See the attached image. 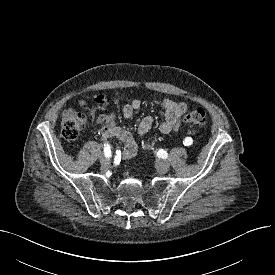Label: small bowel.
I'll return each instance as SVG.
<instances>
[{"instance_id": "obj_1", "label": "small bowel", "mask_w": 275, "mask_h": 275, "mask_svg": "<svg viewBox=\"0 0 275 275\" xmlns=\"http://www.w3.org/2000/svg\"><path fill=\"white\" fill-rule=\"evenodd\" d=\"M89 97H85L80 100V105L85 106ZM141 106L139 99H133L130 103L126 104L122 109V115L125 119L130 118L133 113ZM161 107L164 112V118L161 122L159 129L165 135H172L175 133L180 125L181 119L187 110V105L184 102H176L170 99H164L161 102ZM101 126V137L103 140H107L110 137H117L125 143L122 151V156L125 159L132 158L137 150L136 143L133 140L132 135L127 131L119 127L116 123V118L113 113L103 116L99 119ZM154 124V120L151 116L144 117L139 123L138 133L143 136L150 131Z\"/></svg>"}]
</instances>
